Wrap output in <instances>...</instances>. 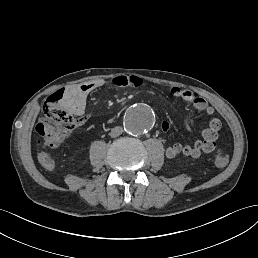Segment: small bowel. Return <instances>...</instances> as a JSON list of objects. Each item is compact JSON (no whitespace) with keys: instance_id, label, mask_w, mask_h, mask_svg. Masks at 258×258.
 <instances>
[{"instance_id":"1","label":"small bowel","mask_w":258,"mask_h":258,"mask_svg":"<svg viewBox=\"0 0 258 258\" xmlns=\"http://www.w3.org/2000/svg\"><path fill=\"white\" fill-rule=\"evenodd\" d=\"M112 83L116 87H140L143 81L137 76L120 75L115 77ZM104 84L105 82L103 80L98 79L70 86L65 89L60 105L71 113L82 116L85 112L88 96L101 88ZM170 93L177 99L192 103L196 110L205 112L210 116V121L208 126L202 131V139L196 140L193 144L175 142L168 145L165 148L166 157L175 158L177 156H184L196 159L203 153H211L215 148L222 126L220 119L214 116L213 107L209 106L204 98L197 97L188 89L172 87ZM191 123L192 117L188 116L186 119V127L188 130H191ZM161 127L164 131H167L169 129V123L164 121ZM38 160L46 170L51 171L55 168V161L48 151H40L38 153Z\"/></svg>"}]
</instances>
